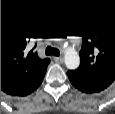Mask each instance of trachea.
<instances>
[{
  "mask_svg": "<svg viewBox=\"0 0 115 114\" xmlns=\"http://www.w3.org/2000/svg\"><path fill=\"white\" fill-rule=\"evenodd\" d=\"M60 51L58 49L52 48V47H47L46 48V55H54V56H59Z\"/></svg>",
  "mask_w": 115,
  "mask_h": 114,
  "instance_id": "1",
  "label": "trachea"
}]
</instances>
